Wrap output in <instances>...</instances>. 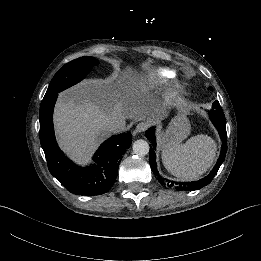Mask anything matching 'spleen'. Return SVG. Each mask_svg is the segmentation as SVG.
<instances>
[{
    "instance_id": "3e777b00",
    "label": "spleen",
    "mask_w": 261,
    "mask_h": 261,
    "mask_svg": "<svg viewBox=\"0 0 261 261\" xmlns=\"http://www.w3.org/2000/svg\"><path fill=\"white\" fill-rule=\"evenodd\" d=\"M216 149L211 137L197 135L163 152L162 162L173 176L186 181L198 180L212 166Z\"/></svg>"
}]
</instances>
